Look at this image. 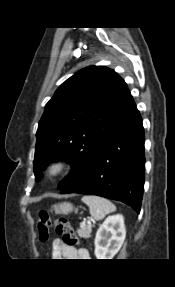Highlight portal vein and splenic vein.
<instances>
[{"mask_svg": "<svg viewBox=\"0 0 175 287\" xmlns=\"http://www.w3.org/2000/svg\"><path fill=\"white\" fill-rule=\"evenodd\" d=\"M87 223H88V224H91L90 221H88ZM84 226H85V224H84V223H81L80 227L82 228V227H84Z\"/></svg>", "mask_w": 175, "mask_h": 287, "instance_id": "obj_1", "label": "portal vein and splenic vein"}]
</instances>
